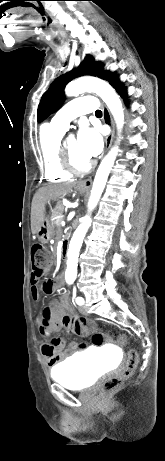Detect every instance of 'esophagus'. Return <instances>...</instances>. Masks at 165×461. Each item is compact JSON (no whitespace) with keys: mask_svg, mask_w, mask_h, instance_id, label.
Returning <instances> with one entry per match:
<instances>
[{"mask_svg":"<svg viewBox=\"0 0 165 461\" xmlns=\"http://www.w3.org/2000/svg\"><path fill=\"white\" fill-rule=\"evenodd\" d=\"M103 115H104V122L108 125H110L111 131L109 135L106 138V144H105V152L110 148L114 136V125H113V120L111 117V114L106 106H103ZM92 185V178L85 179L79 183V186L85 187V188H90Z\"/></svg>","mask_w":165,"mask_h":461,"instance_id":"1","label":"esophagus"}]
</instances>
